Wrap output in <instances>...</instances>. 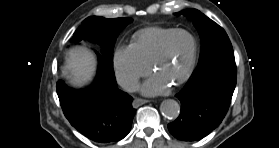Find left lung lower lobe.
I'll use <instances>...</instances> for the list:
<instances>
[{
	"label": "left lung lower lobe",
	"mask_w": 279,
	"mask_h": 148,
	"mask_svg": "<svg viewBox=\"0 0 279 148\" xmlns=\"http://www.w3.org/2000/svg\"><path fill=\"white\" fill-rule=\"evenodd\" d=\"M234 55L214 58L199 66L195 76L176 97L179 117L168 124L169 132L183 141L207 136L225 117L236 86Z\"/></svg>",
	"instance_id": "left-lung-lower-lobe-1"
}]
</instances>
